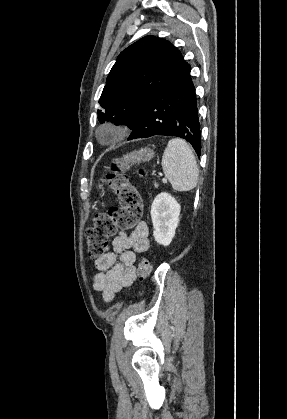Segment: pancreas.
Returning a JSON list of instances; mask_svg holds the SVG:
<instances>
[{"instance_id": "cf45deb5", "label": "pancreas", "mask_w": 287, "mask_h": 419, "mask_svg": "<svg viewBox=\"0 0 287 419\" xmlns=\"http://www.w3.org/2000/svg\"><path fill=\"white\" fill-rule=\"evenodd\" d=\"M154 186H155L156 188H158V187H159V184L155 181V182H154Z\"/></svg>"}]
</instances>
